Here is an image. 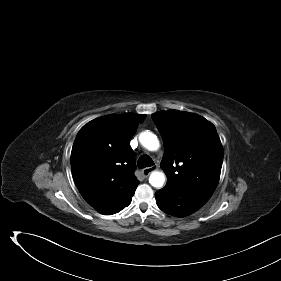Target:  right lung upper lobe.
I'll return each instance as SVG.
<instances>
[{"label":"right lung upper lobe","instance_id":"1","mask_svg":"<svg viewBox=\"0 0 281 281\" xmlns=\"http://www.w3.org/2000/svg\"><path fill=\"white\" fill-rule=\"evenodd\" d=\"M145 115H107L84 125L71 152V169L82 197L101 214L131 203L139 184L129 144Z\"/></svg>","mask_w":281,"mask_h":281}]
</instances>
